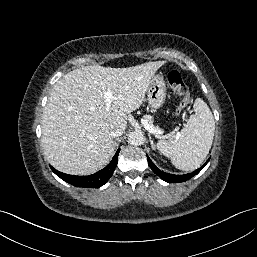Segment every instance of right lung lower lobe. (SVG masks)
I'll use <instances>...</instances> for the list:
<instances>
[{"label": "right lung lower lobe", "mask_w": 257, "mask_h": 257, "mask_svg": "<svg viewBox=\"0 0 257 257\" xmlns=\"http://www.w3.org/2000/svg\"><path fill=\"white\" fill-rule=\"evenodd\" d=\"M119 151L120 149L117 150L111 162L105 168L89 176L68 175L57 171L53 167L51 169L58 177L73 186L98 188L104 185L112 176L117 165Z\"/></svg>", "instance_id": "right-lung-lower-lobe-1"}]
</instances>
